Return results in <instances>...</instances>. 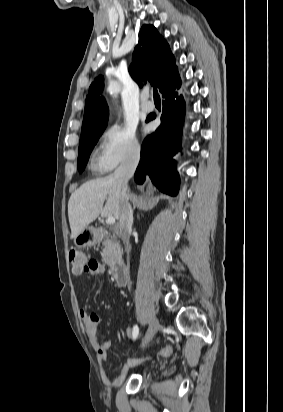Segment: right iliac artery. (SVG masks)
<instances>
[{"instance_id": "1", "label": "right iliac artery", "mask_w": 283, "mask_h": 412, "mask_svg": "<svg viewBox=\"0 0 283 412\" xmlns=\"http://www.w3.org/2000/svg\"><path fill=\"white\" fill-rule=\"evenodd\" d=\"M138 334H139V328L137 325H135L133 328V339L134 340L138 337Z\"/></svg>"}]
</instances>
